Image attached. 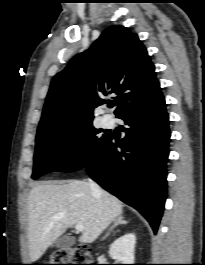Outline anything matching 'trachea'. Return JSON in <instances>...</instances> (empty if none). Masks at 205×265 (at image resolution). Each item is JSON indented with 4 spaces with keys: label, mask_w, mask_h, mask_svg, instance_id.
Instances as JSON below:
<instances>
[{
    "label": "trachea",
    "mask_w": 205,
    "mask_h": 265,
    "mask_svg": "<svg viewBox=\"0 0 205 265\" xmlns=\"http://www.w3.org/2000/svg\"><path fill=\"white\" fill-rule=\"evenodd\" d=\"M113 105H114V104L110 103V104H109V107L111 108V107H113Z\"/></svg>",
    "instance_id": "obj_1"
}]
</instances>
